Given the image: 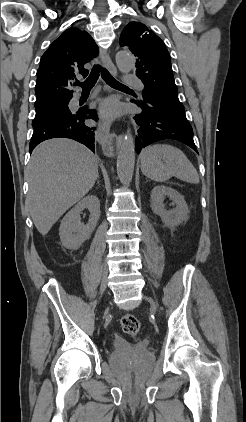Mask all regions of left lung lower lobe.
Instances as JSON below:
<instances>
[{
	"label": "left lung lower lobe",
	"instance_id": "1",
	"mask_svg": "<svg viewBox=\"0 0 246 422\" xmlns=\"http://www.w3.org/2000/svg\"><path fill=\"white\" fill-rule=\"evenodd\" d=\"M137 103L142 110L134 117L139 127L136 136L137 153L162 139L178 140L197 152L193 141V130L184 109L170 107L154 98H148L144 103L140 101Z\"/></svg>",
	"mask_w": 246,
	"mask_h": 422
}]
</instances>
